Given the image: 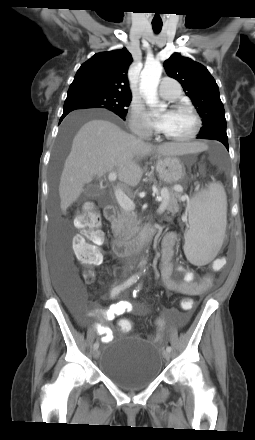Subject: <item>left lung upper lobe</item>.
I'll return each mask as SVG.
<instances>
[{"label":"left lung upper lobe","instance_id":"obj_1","mask_svg":"<svg viewBox=\"0 0 255 440\" xmlns=\"http://www.w3.org/2000/svg\"><path fill=\"white\" fill-rule=\"evenodd\" d=\"M164 67L170 77L180 82L203 120L197 138L228 140L219 88L207 68L179 53L171 55Z\"/></svg>","mask_w":255,"mask_h":440}]
</instances>
